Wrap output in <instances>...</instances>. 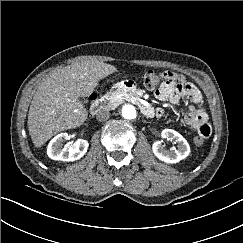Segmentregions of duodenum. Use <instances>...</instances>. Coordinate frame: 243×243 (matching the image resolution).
I'll use <instances>...</instances> for the list:
<instances>
[{"instance_id":"obj_1","label":"duodenum","mask_w":243,"mask_h":243,"mask_svg":"<svg viewBox=\"0 0 243 243\" xmlns=\"http://www.w3.org/2000/svg\"><path fill=\"white\" fill-rule=\"evenodd\" d=\"M122 88L132 90L130 83H124L121 85ZM113 98L112 96H105L101 99H96L93 101L91 105L92 114L99 113L103 108L108 107L112 104ZM141 111L145 116L152 117L155 115V110L149 105H142Z\"/></svg>"}]
</instances>
